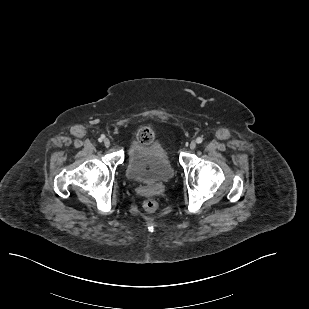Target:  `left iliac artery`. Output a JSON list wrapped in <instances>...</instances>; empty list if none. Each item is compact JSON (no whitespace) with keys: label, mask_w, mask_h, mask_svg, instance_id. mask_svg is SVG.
I'll return each mask as SVG.
<instances>
[{"label":"left iliac artery","mask_w":309,"mask_h":309,"mask_svg":"<svg viewBox=\"0 0 309 309\" xmlns=\"http://www.w3.org/2000/svg\"><path fill=\"white\" fill-rule=\"evenodd\" d=\"M202 141H203V139H202L201 137H198V138L196 139V142H197L198 144L202 143Z\"/></svg>","instance_id":"obj_1"}]
</instances>
